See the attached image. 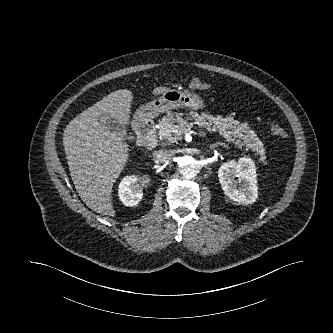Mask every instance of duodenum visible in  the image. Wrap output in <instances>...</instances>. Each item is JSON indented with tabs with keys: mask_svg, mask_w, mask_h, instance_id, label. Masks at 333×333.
Here are the masks:
<instances>
[{
	"mask_svg": "<svg viewBox=\"0 0 333 333\" xmlns=\"http://www.w3.org/2000/svg\"><path fill=\"white\" fill-rule=\"evenodd\" d=\"M135 130L141 146L147 149H153L157 146L154 122L149 116L140 117L135 124Z\"/></svg>",
	"mask_w": 333,
	"mask_h": 333,
	"instance_id": "obj_1",
	"label": "duodenum"
}]
</instances>
